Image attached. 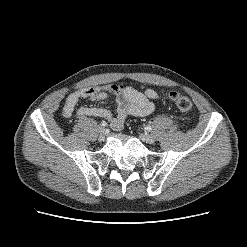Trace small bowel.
I'll return each instance as SVG.
<instances>
[{"label":"small bowel","mask_w":247,"mask_h":247,"mask_svg":"<svg viewBox=\"0 0 247 247\" xmlns=\"http://www.w3.org/2000/svg\"><path fill=\"white\" fill-rule=\"evenodd\" d=\"M160 94L152 88L137 89L132 86L107 85L101 87H87L69 94L65 100L62 115L69 118L75 111L81 99L92 101H104L115 99L116 115H112L106 109L97 107H80L77 115L80 117L94 116L104 118L109 122L110 127L118 131L123 127L128 116L144 117L151 114L154 109L153 100L160 99Z\"/></svg>","instance_id":"small-bowel-1"}]
</instances>
